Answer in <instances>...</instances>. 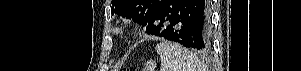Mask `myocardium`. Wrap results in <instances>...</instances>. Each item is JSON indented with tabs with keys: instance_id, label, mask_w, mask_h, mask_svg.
<instances>
[{
	"instance_id": "myocardium-1",
	"label": "myocardium",
	"mask_w": 301,
	"mask_h": 71,
	"mask_svg": "<svg viewBox=\"0 0 301 71\" xmlns=\"http://www.w3.org/2000/svg\"><path fill=\"white\" fill-rule=\"evenodd\" d=\"M135 31H136V28H130V29L128 30L129 33H133V32H135Z\"/></svg>"
}]
</instances>
